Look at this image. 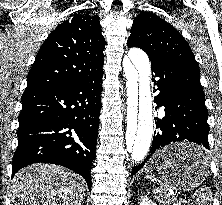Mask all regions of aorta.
Returning a JSON list of instances; mask_svg holds the SVG:
<instances>
[{"label":"aorta","instance_id":"1","mask_svg":"<svg viewBox=\"0 0 222 205\" xmlns=\"http://www.w3.org/2000/svg\"><path fill=\"white\" fill-rule=\"evenodd\" d=\"M123 67L128 97L124 152L129 161L139 163L150 149L154 130L150 62L144 51L132 48L123 61Z\"/></svg>","mask_w":222,"mask_h":205}]
</instances>
